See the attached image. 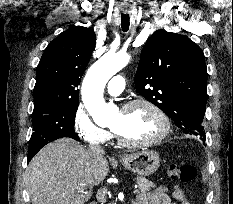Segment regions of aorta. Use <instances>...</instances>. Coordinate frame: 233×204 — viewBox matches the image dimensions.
Listing matches in <instances>:
<instances>
[{"label":"aorta","instance_id":"obj_1","mask_svg":"<svg viewBox=\"0 0 233 204\" xmlns=\"http://www.w3.org/2000/svg\"><path fill=\"white\" fill-rule=\"evenodd\" d=\"M126 53L105 54L88 70L82 83V100L94 122L100 126L109 123L117 107L104 100V87L108 80L122 70L129 62Z\"/></svg>","mask_w":233,"mask_h":204}]
</instances>
